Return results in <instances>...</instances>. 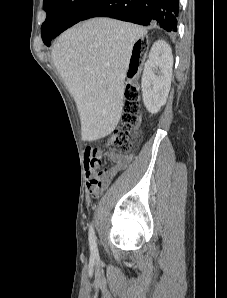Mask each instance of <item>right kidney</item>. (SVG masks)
<instances>
[{"mask_svg":"<svg viewBox=\"0 0 227 298\" xmlns=\"http://www.w3.org/2000/svg\"><path fill=\"white\" fill-rule=\"evenodd\" d=\"M173 56L171 47L164 41H156L149 53L142 75V97L146 109L157 113L166 103L172 79Z\"/></svg>","mask_w":227,"mask_h":298,"instance_id":"ca27d5eb","label":"right kidney"}]
</instances>
